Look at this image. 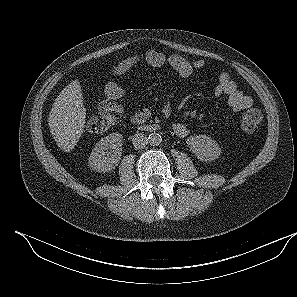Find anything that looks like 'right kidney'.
Listing matches in <instances>:
<instances>
[{
    "mask_svg": "<svg viewBox=\"0 0 297 297\" xmlns=\"http://www.w3.org/2000/svg\"><path fill=\"white\" fill-rule=\"evenodd\" d=\"M123 137L120 133H112L95 145L89 157V166L96 172H109L114 169L122 155Z\"/></svg>",
    "mask_w": 297,
    "mask_h": 297,
    "instance_id": "ca27d5eb",
    "label": "right kidney"
}]
</instances>
